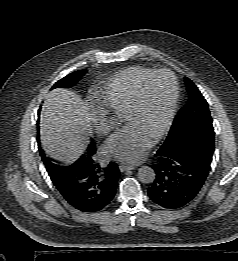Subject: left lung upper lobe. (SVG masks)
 Returning a JSON list of instances; mask_svg holds the SVG:
<instances>
[{"instance_id":"1","label":"left lung upper lobe","mask_w":238,"mask_h":261,"mask_svg":"<svg viewBox=\"0 0 238 261\" xmlns=\"http://www.w3.org/2000/svg\"><path fill=\"white\" fill-rule=\"evenodd\" d=\"M186 84L188 101L176 115L169 134L160 147L161 150L189 143L197 139L202 132H214L206 100L190 79L186 78Z\"/></svg>"}]
</instances>
